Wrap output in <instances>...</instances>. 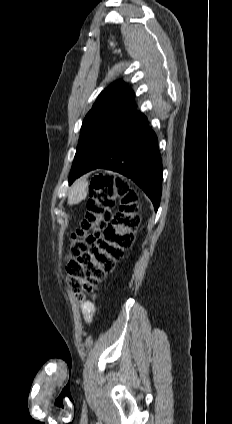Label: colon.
<instances>
[{
    "label": "colon",
    "mask_w": 232,
    "mask_h": 424,
    "mask_svg": "<svg viewBox=\"0 0 232 424\" xmlns=\"http://www.w3.org/2000/svg\"><path fill=\"white\" fill-rule=\"evenodd\" d=\"M115 199L120 201V207L112 214ZM138 225L137 192L112 175L94 176L88 190L86 215L74 235L66 262L67 283L80 304L90 303L86 295L94 293L123 257Z\"/></svg>",
    "instance_id": "colon-1"
}]
</instances>
